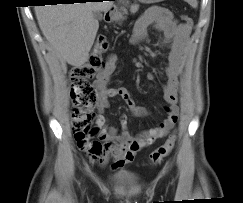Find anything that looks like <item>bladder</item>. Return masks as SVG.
Masks as SVG:
<instances>
[{
    "label": "bladder",
    "mask_w": 243,
    "mask_h": 203,
    "mask_svg": "<svg viewBox=\"0 0 243 203\" xmlns=\"http://www.w3.org/2000/svg\"><path fill=\"white\" fill-rule=\"evenodd\" d=\"M109 180L118 186H132L139 181V175L130 170H120L111 174Z\"/></svg>",
    "instance_id": "bladder-1"
}]
</instances>
